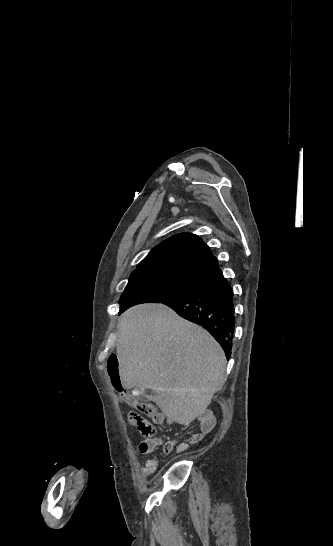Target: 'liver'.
<instances>
[{
	"instance_id": "obj_1",
	"label": "liver",
	"mask_w": 333,
	"mask_h": 546,
	"mask_svg": "<svg viewBox=\"0 0 333 546\" xmlns=\"http://www.w3.org/2000/svg\"><path fill=\"white\" fill-rule=\"evenodd\" d=\"M121 384L155 392L149 397L172 421L201 416L225 382L226 357L202 327L163 304H142L118 320Z\"/></svg>"
}]
</instances>
